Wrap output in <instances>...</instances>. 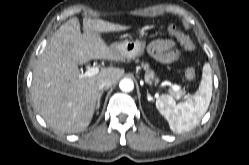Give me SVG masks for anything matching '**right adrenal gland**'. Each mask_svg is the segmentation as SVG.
<instances>
[{
    "instance_id": "obj_1",
    "label": "right adrenal gland",
    "mask_w": 249,
    "mask_h": 165,
    "mask_svg": "<svg viewBox=\"0 0 249 165\" xmlns=\"http://www.w3.org/2000/svg\"><path fill=\"white\" fill-rule=\"evenodd\" d=\"M103 91L100 92L98 100H97V104H96V109L98 110L100 107V102H101V97H102Z\"/></svg>"
}]
</instances>
